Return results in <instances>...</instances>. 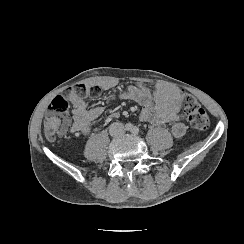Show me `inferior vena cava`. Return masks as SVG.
I'll list each match as a JSON object with an SVG mask.
<instances>
[{
    "instance_id": "1",
    "label": "inferior vena cava",
    "mask_w": 244,
    "mask_h": 244,
    "mask_svg": "<svg viewBox=\"0 0 244 244\" xmlns=\"http://www.w3.org/2000/svg\"><path fill=\"white\" fill-rule=\"evenodd\" d=\"M109 133L112 137H119L124 134V125L122 123H112L109 126Z\"/></svg>"
}]
</instances>
